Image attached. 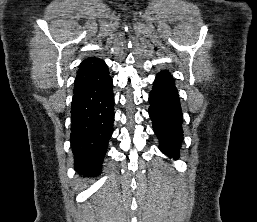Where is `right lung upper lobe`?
Masks as SVG:
<instances>
[{
	"mask_svg": "<svg viewBox=\"0 0 257 222\" xmlns=\"http://www.w3.org/2000/svg\"><path fill=\"white\" fill-rule=\"evenodd\" d=\"M108 73L106 63L99 58L89 57L85 59L79 65V70L77 71V76L74 82V91L83 89L96 83Z\"/></svg>",
	"mask_w": 257,
	"mask_h": 222,
	"instance_id": "1",
	"label": "right lung upper lobe"
}]
</instances>
